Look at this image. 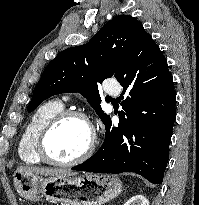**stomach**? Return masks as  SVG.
Here are the masks:
<instances>
[{"label": "stomach", "instance_id": "0dacf381", "mask_svg": "<svg viewBox=\"0 0 199 205\" xmlns=\"http://www.w3.org/2000/svg\"><path fill=\"white\" fill-rule=\"evenodd\" d=\"M14 186L18 194L30 201L46 200L61 205H102L122 191L118 178L107 174L67 177H42L15 172Z\"/></svg>", "mask_w": 199, "mask_h": 205}]
</instances>
